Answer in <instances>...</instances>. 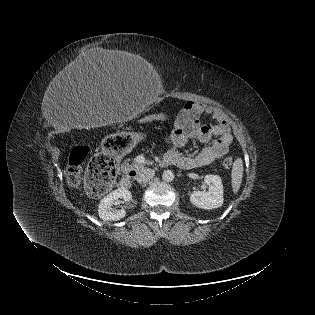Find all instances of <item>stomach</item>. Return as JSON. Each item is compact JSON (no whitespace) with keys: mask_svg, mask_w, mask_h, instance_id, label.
I'll use <instances>...</instances> for the list:
<instances>
[{"mask_svg":"<svg viewBox=\"0 0 315 315\" xmlns=\"http://www.w3.org/2000/svg\"><path fill=\"white\" fill-rule=\"evenodd\" d=\"M146 138V134L139 133L131 137L124 134L111 135L103 143L105 154L111 158L124 157L141 141Z\"/></svg>","mask_w":315,"mask_h":315,"instance_id":"0dacf381","label":"stomach"}]
</instances>
